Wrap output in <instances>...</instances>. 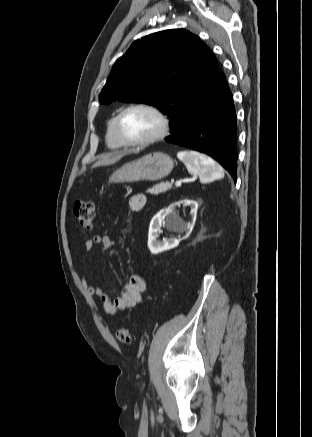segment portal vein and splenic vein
Instances as JSON below:
<instances>
[{
	"label": "portal vein and splenic vein",
	"mask_w": 312,
	"mask_h": 437,
	"mask_svg": "<svg viewBox=\"0 0 312 437\" xmlns=\"http://www.w3.org/2000/svg\"><path fill=\"white\" fill-rule=\"evenodd\" d=\"M181 184H182V181H181V180H178V181L175 182V185H176V186H181Z\"/></svg>",
	"instance_id": "1"
}]
</instances>
